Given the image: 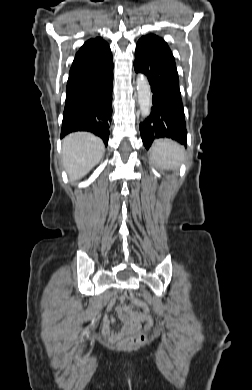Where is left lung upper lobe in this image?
<instances>
[{
    "mask_svg": "<svg viewBox=\"0 0 252 390\" xmlns=\"http://www.w3.org/2000/svg\"><path fill=\"white\" fill-rule=\"evenodd\" d=\"M139 41H143V42H146V43H149V44L155 46L159 51L163 52L168 57H170L172 60H174L173 54H172L169 46L167 45V43L163 39L158 37L157 35L147 34L145 36H142Z\"/></svg>",
    "mask_w": 252,
    "mask_h": 390,
    "instance_id": "obj_1",
    "label": "left lung upper lobe"
}]
</instances>
